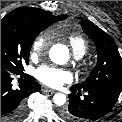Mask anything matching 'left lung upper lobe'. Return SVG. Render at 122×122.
<instances>
[{"label":"left lung upper lobe","instance_id":"left-lung-upper-lobe-1","mask_svg":"<svg viewBox=\"0 0 122 122\" xmlns=\"http://www.w3.org/2000/svg\"><path fill=\"white\" fill-rule=\"evenodd\" d=\"M84 32L95 43L98 62L79 89L113 88L122 90V59L113 39L89 20L81 21Z\"/></svg>","mask_w":122,"mask_h":122}]
</instances>
